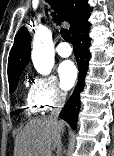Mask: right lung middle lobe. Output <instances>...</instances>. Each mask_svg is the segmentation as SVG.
Returning a JSON list of instances; mask_svg holds the SVG:
<instances>
[{
  "label": "right lung middle lobe",
  "mask_w": 114,
  "mask_h": 156,
  "mask_svg": "<svg viewBox=\"0 0 114 156\" xmlns=\"http://www.w3.org/2000/svg\"><path fill=\"white\" fill-rule=\"evenodd\" d=\"M21 75H17V76H14V77H11L9 78V89H10V93H13L14 90L16 89L17 87V84H18V80L20 78Z\"/></svg>",
  "instance_id": "right-lung-middle-lobe-1"
}]
</instances>
